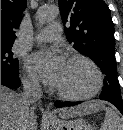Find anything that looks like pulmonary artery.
Instances as JSON below:
<instances>
[{"mask_svg":"<svg viewBox=\"0 0 123 130\" xmlns=\"http://www.w3.org/2000/svg\"><path fill=\"white\" fill-rule=\"evenodd\" d=\"M61 35V27L59 24H51L47 28L41 30L36 36L35 41L39 43H47L57 40Z\"/></svg>","mask_w":123,"mask_h":130,"instance_id":"1","label":"pulmonary artery"}]
</instances>
